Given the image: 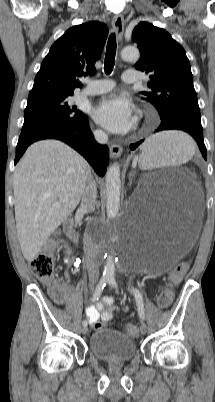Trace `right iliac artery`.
<instances>
[{
    "label": "right iliac artery",
    "instance_id": "82829eb1",
    "mask_svg": "<svg viewBox=\"0 0 215 402\" xmlns=\"http://www.w3.org/2000/svg\"><path fill=\"white\" fill-rule=\"evenodd\" d=\"M108 282V278L102 277L101 280L99 281L98 285L96 286V289L94 291L93 297H92V301H96L100 298V295L104 289V287L106 286V283ZM83 326H87V321L84 320L82 323Z\"/></svg>",
    "mask_w": 215,
    "mask_h": 402
}]
</instances>
